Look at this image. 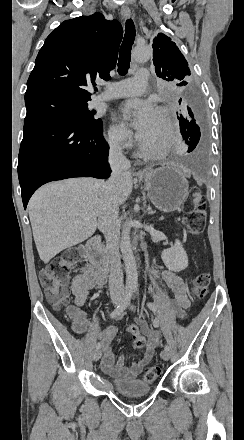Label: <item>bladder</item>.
Returning <instances> with one entry per match:
<instances>
[{"label": "bladder", "mask_w": 244, "mask_h": 440, "mask_svg": "<svg viewBox=\"0 0 244 440\" xmlns=\"http://www.w3.org/2000/svg\"><path fill=\"white\" fill-rule=\"evenodd\" d=\"M114 391L120 392L125 396H136L148 394L151 391V385L146 384L143 378H136L131 380H113Z\"/></svg>", "instance_id": "1"}]
</instances>
